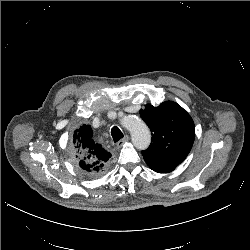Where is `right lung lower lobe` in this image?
<instances>
[{"label":"right lung lower lobe","mask_w":250,"mask_h":250,"mask_svg":"<svg viewBox=\"0 0 250 250\" xmlns=\"http://www.w3.org/2000/svg\"><path fill=\"white\" fill-rule=\"evenodd\" d=\"M77 167L81 170V172L87 176V177H90V178H97V177H100L102 176L106 170H107V167L104 168V169H100V170H93V169H84L82 167H80L78 164H76Z\"/></svg>","instance_id":"right-lung-lower-lobe-1"}]
</instances>
